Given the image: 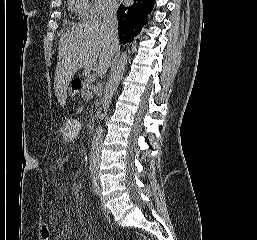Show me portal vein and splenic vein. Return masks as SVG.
I'll return each instance as SVG.
<instances>
[{
    "label": "portal vein and splenic vein",
    "instance_id": "18ae733b",
    "mask_svg": "<svg viewBox=\"0 0 257 240\" xmlns=\"http://www.w3.org/2000/svg\"><path fill=\"white\" fill-rule=\"evenodd\" d=\"M87 95L89 98L92 97V92L88 91Z\"/></svg>",
    "mask_w": 257,
    "mask_h": 240
}]
</instances>
